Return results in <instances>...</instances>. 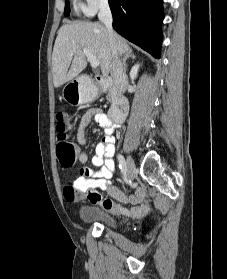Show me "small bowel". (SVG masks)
<instances>
[{"mask_svg":"<svg viewBox=\"0 0 227 279\" xmlns=\"http://www.w3.org/2000/svg\"><path fill=\"white\" fill-rule=\"evenodd\" d=\"M94 120L95 123L103 129L101 142L96 145L95 155L90 159L85 151L78 155V161L84 165L73 183L64 191V195L69 202H75L78 199L77 192L89 191V196L98 193L96 188L105 189L111 198L103 199L90 198L92 203L102 206L118 214L131 216H141L145 214L150 206L145 198L144 191L138 189L134 195L126 196L113 182L112 177L115 170L113 159L115 153V137L113 135V124L101 109H89L81 117L77 130V140L80 145L86 143L85 129ZM90 161L91 165L86 166ZM99 194V193H98ZM120 201L125 204L139 203L137 206L125 207L117 203Z\"/></svg>","mask_w":227,"mask_h":279,"instance_id":"small-bowel-1","label":"small bowel"}]
</instances>
